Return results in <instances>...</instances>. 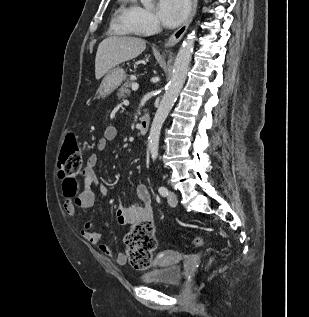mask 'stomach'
Returning <instances> with one entry per match:
<instances>
[{"instance_id": "0dacf381", "label": "stomach", "mask_w": 309, "mask_h": 317, "mask_svg": "<svg viewBox=\"0 0 309 317\" xmlns=\"http://www.w3.org/2000/svg\"><path fill=\"white\" fill-rule=\"evenodd\" d=\"M125 79V71L121 68L112 69L103 79L97 94L99 97L105 98L113 93Z\"/></svg>"}]
</instances>
